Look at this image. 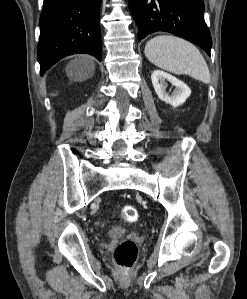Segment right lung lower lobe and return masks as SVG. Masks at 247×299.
I'll return each mask as SVG.
<instances>
[{"mask_svg": "<svg viewBox=\"0 0 247 299\" xmlns=\"http://www.w3.org/2000/svg\"><path fill=\"white\" fill-rule=\"evenodd\" d=\"M101 0H44L37 59L41 75L60 59L88 53L101 61Z\"/></svg>", "mask_w": 247, "mask_h": 299, "instance_id": "98d812e1", "label": "right lung lower lobe"}]
</instances>
